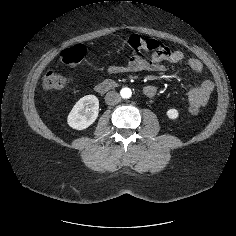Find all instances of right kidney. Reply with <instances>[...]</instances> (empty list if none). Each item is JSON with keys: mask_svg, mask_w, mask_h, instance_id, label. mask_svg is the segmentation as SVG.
I'll list each match as a JSON object with an SVG mask.
<instances>
[{"mask_svg": "<svg viewBox=\"0 0 236 236\" xmlns=\"http://www.w3.org/2000/svg\"><path fill=\"white\" fill-rule=\"evenodd\" d=\"M99 113V100L95 95L82 97L72 108L67 123L76 130H84L95 122Z\"/></svg>", "mask_w": 236, "mask_h": 236, "instance_id": "right-kidney-1", "label": "right kidney"}]
</instances>
